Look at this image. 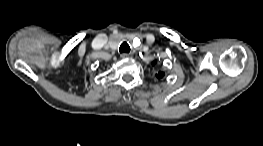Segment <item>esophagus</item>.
<instances>
[{
	"instance_id": "34e87169",
	"label": "esophagus",
	"mask_w": 263,
	"mask_h": 146,
	"mask_svg": "<svg viewBox=\"0 0 263 146\" xmlns=\"http://www.w3.org/2000/svg\"><path fill=\"white\" fill-rule=\"evenodd\" d=\"M120 56H121V58L125 59V58H128L130 56V54L122 53Z\"/></svg>"
}]
</instances>
